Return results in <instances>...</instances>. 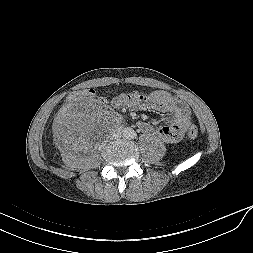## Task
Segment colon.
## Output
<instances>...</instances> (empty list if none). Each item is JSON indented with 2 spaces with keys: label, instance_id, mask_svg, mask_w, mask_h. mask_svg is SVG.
<instances>
[{
  "label": "colon",
  "instance_id": "colon-1",
  "mask_svg": "<svg viewBox=\"0 0 253 253\" xmlns=\"http://www.w3.org/2000/svg\"><path fill=\"white\" fill-rule=\"evenodd\" d=\"M98 90L96 88H90L86 90H80L73 92L65 98L66 104H72L76 99L89 98L90 96H97ZM187 135L190 138H196L198 135V128L195 125H191L187 129Z\"/></svg>",
  "mask_w": 253,
  "mask_h": 253
}]
</instances>
